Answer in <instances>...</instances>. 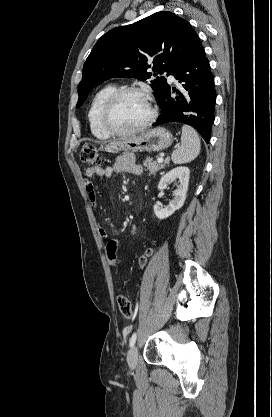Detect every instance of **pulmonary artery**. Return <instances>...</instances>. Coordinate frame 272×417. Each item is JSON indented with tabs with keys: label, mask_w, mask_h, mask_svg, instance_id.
<instances>
[{
	"label": "pulmonary artery",
	"mask_w": 272,
	"mask_h": 417,
	"mask_svg": "<svg viewBox=\"0 0 272 417\" xmlns=\"http://www.w3.org/2000/svg\"><path fill=\"white\" fill-rule=\"evenodd\" d=\"M168 78H169V80H170V81H174V77H173V75H169V77H168Z\"/></svg>",
	"instance_id": "1"
}]
</instances>
